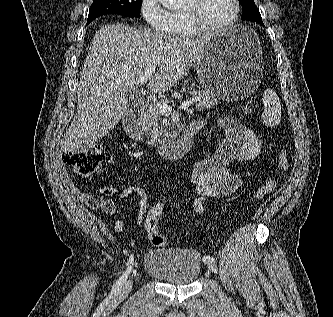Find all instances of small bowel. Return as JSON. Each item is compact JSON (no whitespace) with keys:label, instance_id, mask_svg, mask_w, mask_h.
Returning <instances> with one entry per match:
<instances>
[{"label":"small bowel","instance_id":"1","mask_svg":"<svg viewBox=\"0 0 333 317\" xmlns=\"http://www.w3.org/2000/svg\"><path fill=\"white\" fill-rule=\"evenodd\" d=\"M203 125L205 121L198 119ZM225 138L215 154L204 160L195 162L192 166L190 181L194 192L198 195L193 203V210L201 215L206 202L229 196L242 187L243 180L238 174L232 173V163H242L255 159L262 146V139L250 126L244 125L231 116H222L218 119ZM64 185L70 195L77 201L85 202L88 206L101 210L107 216L117 213L116 202L107 197L117 196L119 202L131 195L139 201L137 214L138 227L144 229V218L149 206L148 195L145 189L137 185H128L121 191L113 185H103L98 191L101 195L88 194L81 191L75 183L65 177ZM123 220L120 216L115 219L114 230H123Z\"/></svg>","mask_w":333,"mask_h":317}]
</instances>
